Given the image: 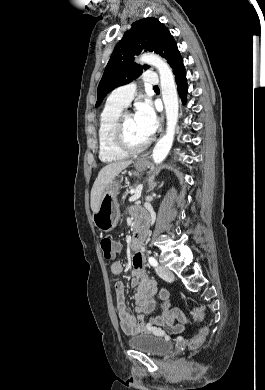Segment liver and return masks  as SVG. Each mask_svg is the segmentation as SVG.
Instances as JSON below:
<instances>
[{
  "mask_svg": "<svg viewBox=\"0 0 265 390\" xmlns=\"http://www.w3.org/2000/svg\"><path fill=\"white\" fill-rule=\"evenodd\" d=\"M132 163L131 160L113 162L104 166L98 173V176L91 190V209L93 213L97 212L104 191L109 184L119 175L125 168Z\"/></svg>",
  "mask_w": 265,
  "mask_h": 390,
  "instance_id": "liver-1",
  "label": "liver"
}]
</instances>
